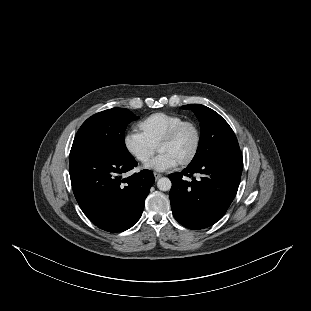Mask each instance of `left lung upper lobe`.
<instances>
[{"label": "left lung upper lobe", "instance_id": "1", "mask_svg": "<svg viewBox=\"0 0 311 311\" xmlns=\"http://www.w3.org/2000/svg\"><path fill=\"white\" fill-rule=\"evenodd\" d=\"M200 121L201 133L197 153L189 165H197L220 154L240 151L237 138L229 124L214 110L200 105L189 104Z\"/></svg>", "mask_w": 311, "mask_h": 311}]
</instances>
